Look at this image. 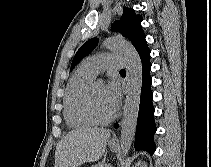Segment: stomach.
<instances>
[{
  "instance_id": "0dacf381",
  "label": "stomach",
  "mask_w": 211,
  "mask_h": 167,
  "mask_svg": "<svg viewBox=\"0 0 211 167\" xmlns=\"http://www.w3.org/2000/svg\"><path fill=\"white\" fill-rule=\"evenodd\" d=\"M108 145L111 151L116 152L118 150V144L110 141Z\"/></svg>"
}]
</instances>
